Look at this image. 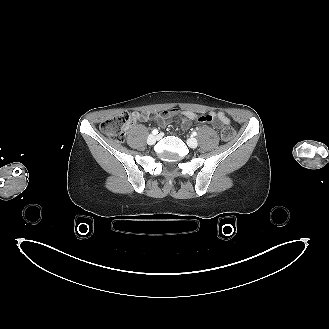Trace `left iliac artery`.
Masks as SVG:
<instances>
[{
	"mask_svg": "<svg viewBox=\"0 0 329 329\" xmlns=\"http://www.w3.org/2000/svg\"><path fill=\"white\" fill-rule=\"evenodd\" d=\"M192 135H193V136H196V135H197V132H195V131L192 132Z\"/></svg>",
	"mask_w": 329,
	"mask_h": 329,
	"instance_id": "1",
	"label": "left iliac artery"
}]
</instances>
